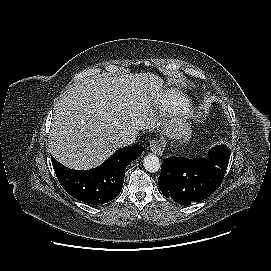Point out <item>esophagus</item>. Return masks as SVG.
Segmentation results:
<instances>
[{
  "label": "esophagus",
  "instance_id": "obj_1",
  "mask_svg": "<svg viewBox=\"0 0 271 271\" xmlns=\"http://www.w3.org/2000/svg\"><path fill=\"white\" fill-rule=\"evenodd\" d=\"M150 150L154 153V154H157L159 156L162 155V147H161V144L158 140L156 139H153L150 141Z\"/></svg>",
  "mask_w": 271,
  "mask_h": 271
}]
</instances>
